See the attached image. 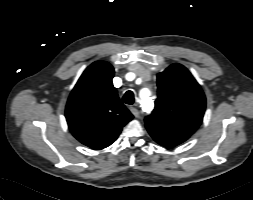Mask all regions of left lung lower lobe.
<instances>
[{"label":"left lung lower lobe","mask_w":253,"mask_h":200,"mask_svg":"<svg viewBox=\"0 0 253 200\" xmlns=\"http://www.w3.org/2000/svg\"><path fill=\"white\" fill-rule=\"evenodd\" d=\"M151 137L160 145L171 148L186 141L190 136L146 126Z\"/></svg>","instance_id":"0a47b994"}]
</instances>
